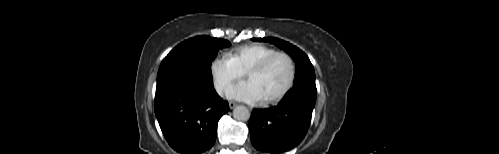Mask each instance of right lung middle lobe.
Segmentation results:
<instances>
[{"instance_id":"dd1d6c3e","label":"right lung middle lobe","mask_w":499,"mask_h":154,"mask_svg":"<svg viewBox=\"0 0 499 154\" xmlns=\"http://www.w3.org/2000/svg\"><path fill=\"white\" fill-rule=\"evenodd\" d=\"M230 42L208 36L190 38L177 45L161 62L157 87L176 82H196L211 86V62L219 49Z\"/></svg>"}]
</instances>
